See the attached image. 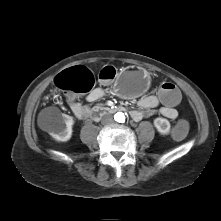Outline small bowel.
Here are the masks:
<instances>
[{
	"mask_svg": "<svg viewBox=\"0 0 221 221\" xmlns=\"http://www.w3.org/2000/svg\"><path fill=\"white\" fill-rule=\"evenodd\" d=\"M105 95V90L101 87L95 88L91 90L86 96V100L89 103H94L100 99H102ZM68 104L71 108L73 114L78 119H83L87 116L88 111L90 110L89 106L83 105L79 101L76 100L75 96H68ZM159 108V113L167 119L174 120L178 117V111L176 108H166L162 105L159 98L156 95H147L138 99V106L140 109H135L130 112L131 117L135 121H140L143 118L150 117L157 112V108Z\"/></svg>",
	"mask_w": 221,
	"mask_h": 221,
	"instance_id": "1",
	"label": "small bowel"
}]
</instances>
